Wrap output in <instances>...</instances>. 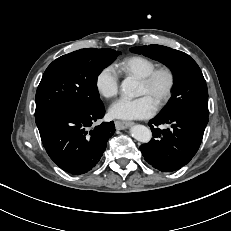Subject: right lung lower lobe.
<instances>
[{"label":"right lung lower lobe","mask_w":231,"mask_h":231,"mask_svg":"<svg viewBox=\"0 0 231 231\" xmlns=\"http://www.w3.org/2000/svg\"><path fill=\"white\" fill-rule=\"evenodd\" d=\"M104 114L102 105L87 111L57 109L35 117L44 148L57 166L80 175L98 163L115 132L113 121L91 129Z\"/></svg>","instance_id":"right-lung-lower-lobe-1"}]
</instances>
